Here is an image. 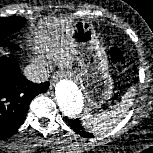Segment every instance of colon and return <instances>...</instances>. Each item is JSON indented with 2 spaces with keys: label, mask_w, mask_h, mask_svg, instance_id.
I'll list each match as a JSON object with an SVG mask.
<instances>
[{
  "label": "colon",
  "mask_w": 153,
  "mask_h": 153,
  "mask_svg": "<svg viewBox=\"0 0 153 153\" xmlns=\"http://www.w3.org/2000/svg\"><path fill=\"white\" fill-rule=\"evenodd\" d=\"M110 59L113 64V66L119 70L124 71L127 68V60L118 47H112L110 50Z\"/></svg>",
  "instance_id": "1"
}]
</instances>
